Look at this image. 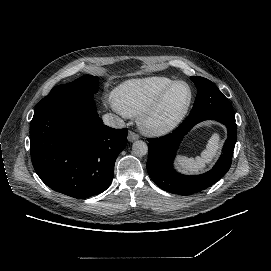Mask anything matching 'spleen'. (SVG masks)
<instances>
[{
    "instance_id": "obj_1",
    "label": "spleen",
    "mask_w": 271,
    "mask_h": 271,
    "mask_svg": "<svg viewBox=\"0 0 271 271\" xmlns=\"http://www.w3.org/2000/svg\"><path fill=\"white\" fill-rule=\"evenodd\" d=\"M219 148L220 137L215 133L209 139L206 149L202 151L201 156H196L195 158L178 156L177 161L184 170L198 172L199 170H203L206 164H209L216 157Z\"/></svg>"
}]
</instances>
